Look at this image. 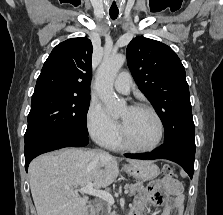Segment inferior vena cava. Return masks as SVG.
Returning <instances> with one entry per match:
<instances>
[{
  "label": "inferior vena cava",
  "instance_id": "obj_1",
  "mask_svg": "<svg viewBox=\"0 0 223 215\" xmlns=\"http://www.w3.org/2000/svg\"><path fill=\"white\" fill-rule=\"evenodd\" d=\"M99 155H102V157H109L108 151H102V149H100ZM96 211H100V205H97Z\"/></svg>",
  "mask_w": 223,
  "mask_h": 215
}]
</instances>
